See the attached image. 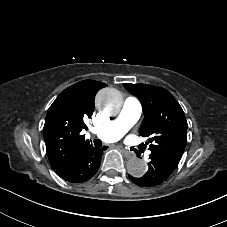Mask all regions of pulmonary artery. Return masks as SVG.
<instances>
[{
    "label": "pulmonary artery",
    "instance_id": "1",
    "mask_svg": "<svg viewBox=\"0 0 227 227\" xmlns=\"http://www.w3.org/2000/svg\"><path fill=\"white\" fill-rule=\"evenodd\" d=\"M141 112V101L137 95L131 94L125 98L123 108L119 115L107 122L106 125L92 127L86 131L88 138L101 136L109 142H114L122 137L139 119Z\"/></svg>",
    "mask_w": 227,
    "mask_h": 227
}]
</instances>
